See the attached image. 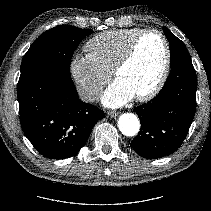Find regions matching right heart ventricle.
<instances>
[{"label": "right heart ventricle", "instance_id": "obj_1", "mask_svg": "<svg viewBox=\"0 0 211 211\" xmlns=\"http://www.w3.org/2000/svg\"><path fill=\"white\" fill-rule=\"evenodd\" d=\"M142 28H125L103 32L92 37L86 49L104 71L111 73L133 38Z\"/></svg>", "mask_w": 211, "mask_h": 211}]
</instances>
